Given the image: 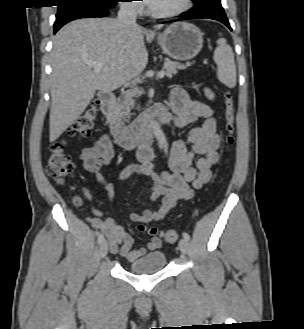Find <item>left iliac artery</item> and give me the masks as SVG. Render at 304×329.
Segmentation results:
<instances>
[{"instance_id": "44dca946", "label": "left iliac artery", "mask_w": 304, "mask_h": 329, "mask_svg": "<svg viewBox=\"0 0 304 329\" xmlns=\"http://www.w3.org/2000/svg\"><path fill=\"white\" fill-rule=\"evenodd\" d=\"M183 238L186 239L187 241L190 239V236L188 233L183 232Z\"/></svg>"}]
</instances>
